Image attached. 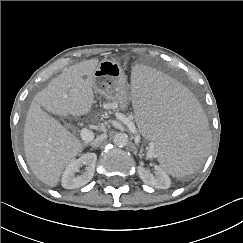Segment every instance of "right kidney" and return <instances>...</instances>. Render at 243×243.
I'll use <instances>...</instances> for the list:
<instances>
[{
	"label": "right kidney",
	"mask_w": 243,
	"mask_h": 243,
	"mask_svg": "<svg viewBox=\"0 0 243 243\" xmlns=\"http://www.w3.org/2000/svg\"><path fill=\"white\" fill-rule=\"evenodd\" d=\"M97 155L95 153L83 154L78 159H73L66 166L62 175V187L65 189H75L87 184L94 175ZM85 165V170L81 175L75 176L80 167Z\"/></svg>",
	"instance_id": "right-kidney-1"
}]
</instances>
